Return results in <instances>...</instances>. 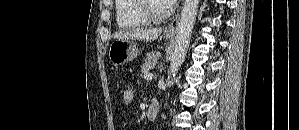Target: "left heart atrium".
<instances>
[{
  "instance_id": "39dd6f15",
  "label": "left heart atrium",
  "mask_w": 299,
  "mask_h": 130,
  "mask_svg": "<svg viewBox=\"0 0 299 130\" xmlns=\"http://www.w3.org/2000/svg\"><path fill=\"white\" fill-rule=\"evenodd\" d=\"M167 6H171L175 1L174 0H164L163 1Z\"/></svg>"
}]
</instances>
